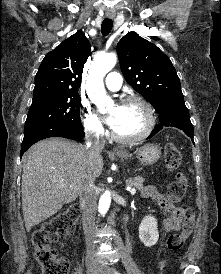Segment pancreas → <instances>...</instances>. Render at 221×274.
<instances>
[{
    "label": "pancreas",
    "instance_id": "obj_1",
    "mask_svg": "<svg viewBox=\"0 0 221 274\" xmlns=\"http://www.w3.org/2000/svg\"><path fill=\"white\" fill-rule=\"evenodd\" d=\"M126 183L137 190H141L143 188L144 178L142 176L129 178Z\"/></svg>",
    "mask_w": 221,
    "mask_h": 274
}]
</instances>
